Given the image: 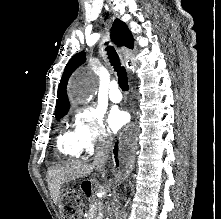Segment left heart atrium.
<instances>
[{
	"label": "left heart atrium",
	"mask_w": 221,
	"mask_h": 219,
	"mask_svg": "<svg viewBox=\"0 0 221 219\" xmlns=\"http://www.w3.org/2000/svg\"><path fill=\"white\" fill-rule=\"evenodd\" d=\"M108 127L112 132H116L125 123V113L118 109H113L108 115Z\"/></svg>",
	"instance_id": "1"
}]
</instances>
